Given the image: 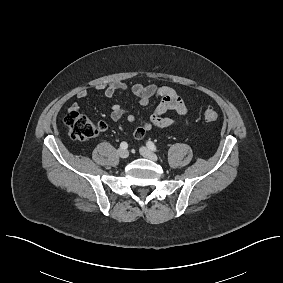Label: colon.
<instances>
[{
	"label": "colon",
	"instance_id": "1",
	"mask_svg": "<svg viewBox=\"0 0 283 283\" xmlns=\"http://www.w3.org/2000/svg\"><path fill=\"white\" fill-rule=\"evenodd\" d=\"M218 117V113L214 110H206L204 112V119L207 122H216ZM65 123L69 128L71 137L75 140L93 138L106 128V124L103 122L96 123L78 111H70L65 118Z\"/></svg>",
	"mask_w": 283,
	"mask_h": 283
}]
</instances>
